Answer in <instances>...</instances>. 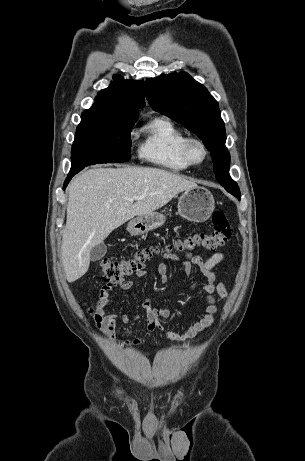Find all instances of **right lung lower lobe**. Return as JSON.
<instances>
[{
    "mask_svg": "<svg viewBox=\"0 0 305 461\" xmlns=\"http://www.w3.org/2000/svg\"><path fill=\"white\" fill-rule=\"evenodd\" d=\"M80 170H81V169H79V168L71 169V171L69 172L68 177H67V179H66V181H65V183H64V189L66 188V186H67L68 182L71 180V178H72L76 173H78Z\"/></svg>",
    "mask_w": 305,
    "mask_h": 461,
    "instance_id": "98d812e1",
    "label": "right lung lower lobe"
}]
</instances>
